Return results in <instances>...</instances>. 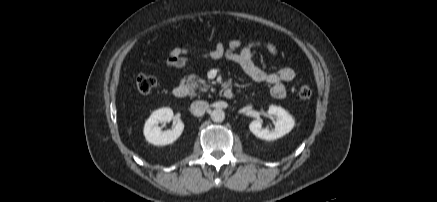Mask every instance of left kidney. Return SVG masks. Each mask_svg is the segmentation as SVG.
<instances>
[{"label": "left kidney", "instance_id": "obj_1", "mask_svg": "<svg viewBox=\"0 0 437 202\" xmlns=\"http://www.w3.org/2000/svg\"><path fill=\"white\" fill-rule=\"evenodd\" d=\"M268 114L277 117L275 128L273 130L263 129L262 121L254 120L249 124V129L256 137L268 141L276 140L293 129L294 119L283 108L272 105L269 107Z\"/></svg>", "mask_w": 437, "mask_h": 202}]
</instances>
